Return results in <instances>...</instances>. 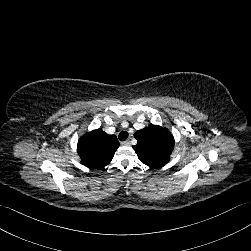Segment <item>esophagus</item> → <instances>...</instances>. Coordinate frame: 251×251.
Returning <instances> with one entry per match:
<instances>
[{"instance_id": "obj_1", "label": "esophagus", "mask_w": 251, "mask_h": 251, "mask_svg": "<svg viewBox=\"0 0 251 251\" xmlns=\"http://www.w3.org/2000/svg\"><path fill=\"white\" fill-rule=\"evenodd\" d=\"M122 145H129L130 144V140H125L121 142Z\"/></svg>"}]
</instances>
